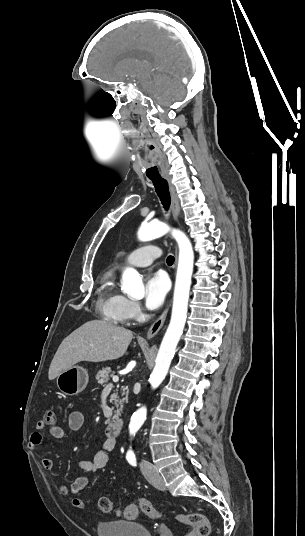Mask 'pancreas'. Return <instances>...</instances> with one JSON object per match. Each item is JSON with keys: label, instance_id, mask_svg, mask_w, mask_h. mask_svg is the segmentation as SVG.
<instances>
[{"label": "pancreas", "instance_id": "pancreas-1", "mask_svg": "<svg viewBox=\"0 0 305 536\" xmlns=\"http://www.w3.org/2000/svg\"><path fill=\"white\" fill-rule=\"evenodd\" d=\"M113 376L114 374L111 368H102V370H99L98 374H96L95 378L96 380H98V384H107L108 380H110V378H113ZM121 396H125V392H123ZM113 398L116 408H119L120 404V408L119 410H117V412H115L114 416H121L124 402L123 400H120L119 404H117L118 400H116L117 396H115V394H113Z\"/></svg>", "mask_w": 305, "mask_h": 536}]
</instances>
